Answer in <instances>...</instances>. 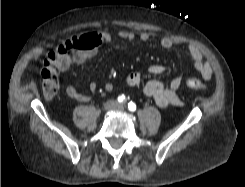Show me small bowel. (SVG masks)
Instances as JSON below:
<instances>
[{
    "label": "small bowel",
    "mask_w": 245,
    "mask_h": 187,
    "mask_svg": "<svg viewBox=\"0 0 245 187\" xmlns=\"http://www.w3.org/2000/svg\"><path fill=\"white\" fill-rule=\"evenodd\" d=\"M117 37L127 41L140 40L143 42L156 38V33L151 31L136 32L132 30L120 29L116 33ZM112 41V35L105 31L92 32L85 36V49L78 51L77 53L70 55L65 62L59 64V71L64 72L68 70L72 65H81L94 56L97 48L104 43ZM160 44L165 49H171L174 46L182 45V42L171 37L164 36L160 39ZM188 53L194 61V67L197 72L206 80H209L213 76V69L209 61L203 58L202 52L199 48L191 43L185 45ZM50 53L48 54V56ZM164 66L160 64H154L149 67V73L151 75H160L164 72ZM142 82V76L138 72H132L126 77V84L131 87L139 86ZM183 82V77L178 76L174 78L169 86H165L159 81L150 80L145 83L143 92L146 96L152 98L156 104L162 108L181 105L182 100L177 94V90L180 88ZM111 83L105 85V90H112ZM96 84H90V90L92 93L96 92ZM66 94L69 98L77 102H87L90 100V96L80 92L75 86L69 85L66 88Z\"/></svg>",
    "instance_id": "small-bowel-1"
}]
</instances>
